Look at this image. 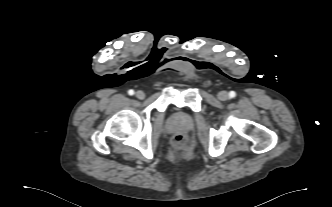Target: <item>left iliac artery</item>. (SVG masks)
<instances>
[{"mask_svg": "<svg viewBox=\"0 0 332 207\" xmlns=\"http://www.w3.org/2000/svg\"><path fill=\"white\" fill-rule=\"evenodd\" d=\"M229 96L231 98H234L236 96V93L234 91H230Z\"/></svg>", "mask_w": 332, "mask_h": 207, "instance_id": "44dca946", "label": "left iliac artery"}]
</instances>
